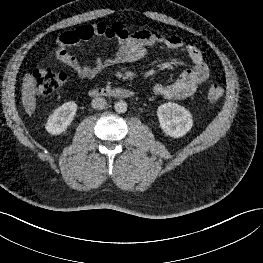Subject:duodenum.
<instances>
[{"mask_svg": "<svg viewBox=\"0 0 263 263\" xmlns=\"http://www.w3.org/2000/svg\"><path fill=\"white\" fill-rule=\"evenodd\" d=\"M90 96L98 97H112V98H132L135 93L125 88H108V87H97L93 88L89 92Z\"/></svg>", "mask_w": 263, "mask_h": 263, "instance_id": "duodenum-1", "label": "duodenum"}]
</instances>
